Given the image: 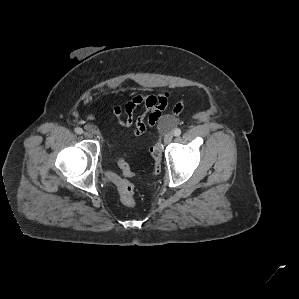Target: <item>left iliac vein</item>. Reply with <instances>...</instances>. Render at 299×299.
<instances>
[{
    "mask_svg": "<svg viewBox=\"0 0 299 299\" xmlns=\"http://www.w3.org/2000/svg\"><path fill=\"white\" fill-rule=\"evenodd\" d=\"M173 139V133L172 132H168L165 137H164V143L168 144L172 141Z\"/></svg>",
    "mask_w": 299,
    "mask_h": 299,
    "instance_id": "1",
    "label": "left iliac vein"
}]
</instances>
